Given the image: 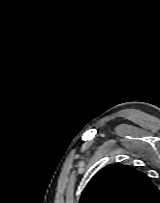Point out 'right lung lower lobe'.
I'll return each instance as SVG.
<instances>
[{"label":"right lung lower lobe","instance_id":"obj_1","mask_svg":"<svg viewBox=\"0 0 160 203\" xmlns=\"http://www.w3.org/2000/svg\"><path fill=\"white\" fill-rule=\"evenodd\" d=\"M158 194H159V191H158ZM154 203H160V197L158 195V197L156 198V201H154Z\"/></svg>","mask_w":160,"mask_h":203}]
</instances>
